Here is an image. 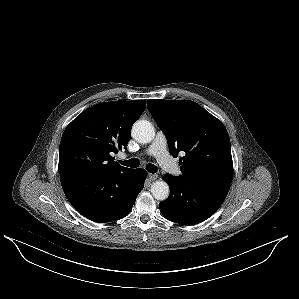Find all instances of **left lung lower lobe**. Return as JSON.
<instances>
[{"instance_id": "obj_1", "label": "left lung lower lobe", "mask_w": 299, "mask_h": 299, "mask_svg": "<svg viewBox=\"0 0 299 299\" xmlns=\"http://www.w3.org/2000/svg\"><path fill=\"white\" fill-rule=\"evenodd\" d=\"M169 184L168 199L159 204L162 215L170 221L194 225L212 216L225 200L231 183L210 179H182L164 175Z\"/></svg>"}]
</instances>
